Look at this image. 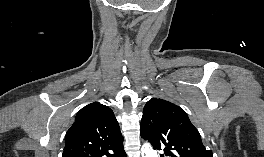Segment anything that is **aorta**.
<instances>
[{"instance_id":"762f6f07","label":"aorta","mask_w":264,"mask_h":157,"mask_svg":"<svg viewBox=\"0 0 264 157\" xmlns=\"http://www.w3.org/2000/svg\"><path fill=\"white\" fill-rule=\"evenodd\" d=\"M141 150L143 157H157L156 152L148 144H144Z\"/></svg>"}]
</instances>
